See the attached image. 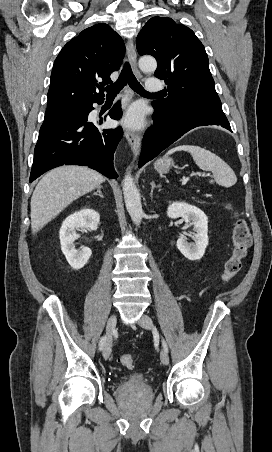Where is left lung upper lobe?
Wrapping results in <instances>:
<instances>
[{
    "label": "left lung upper lobe",
    "instance_id": "left-lung-upper-lobe-1",
    "mask_svg": "<svg viewBox=\"0 0 272 452\" xmlns=\"http://www.w3.org/2000/svg\"><path fill=\"white\" fill-rule=\"evenodd\" d=\"M136 46L140 55L156 58L154 75L167 84L168 97L154 101L157 107L171 113L197 105L222 108L205 48L190 28L153 17L138 34Z\"/></svg>",
    "mask_w": 272,
    "mask_h": 452
}]
</instances>
